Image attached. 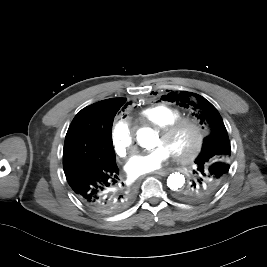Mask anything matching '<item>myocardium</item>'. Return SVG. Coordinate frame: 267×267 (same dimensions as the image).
Instances as JSON below:
<instances>
[{
	"mask_svg": "<svg viewBox=\"0 0 267 267\" xmlns=\"http://www.w3.org/2000/svg\"><path fill=\"white\" fill-rule=\"evenodd\" d=\"M184 125H190L193 127L196 133L195 141L192 148L186 153L172 152L174 158L182 163H187L193 160L201 151L205 139V131L200 123L191 117H180L166 125L159 128V135L163 138H167L174 134L179 128Z\"/></svg>",
	"mask_w": 267,
	"mask_h": 267,
	"instance_id": "f54148a6",
	"label": "myocardium"
}]
</instances>
